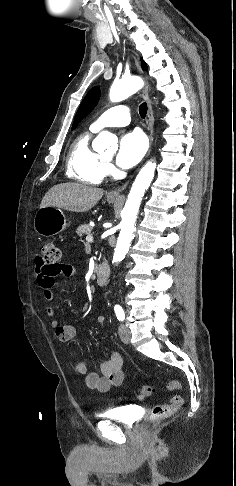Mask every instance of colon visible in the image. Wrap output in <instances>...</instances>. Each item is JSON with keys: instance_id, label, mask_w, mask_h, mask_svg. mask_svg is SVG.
I'll use <instances>...</instances> for the list:
<instances>
[{"instance_id": "1", "label": "colon", "mask_w": 236, "mask_h": 486, "mask_svg": "<svg viewBox=\"0 0 236 486\" xmlns=\"http://www.w3.org/2000/svg\"><path fill=\"white\" fill-rule=\"evenodd\" d=\"M61 251L54 243H46L41 249V262L49 269H53L59 263ZM170 391L181 390V384L178 381H171L167 384ZM153 393V388L148 385H143L139 388V396L147 398ZM184 403V398L181 395H175L171 398L169 403L160 404L153 407L147 428L150 426L169 418L173 415Z\"/></svg>"}]
</instances>
